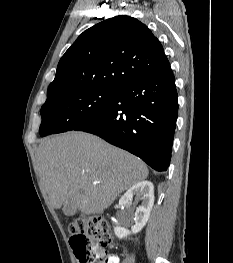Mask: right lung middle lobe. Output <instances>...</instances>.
<instances>
[{
	"label": "right lung middle lobe",
	"instance_id": "right-lung-middle-lobe-1",
	"mask_svg": "<svg viewBox=\"0 0 233 263\" xmlns=\"http://www.w3.org/2000/svg\"><path fill=\"white\" fill-rule=\"evenodd\" d=\"M117 89L89 87L47 97L41 107L40 136L70 131L103 112Z\"/></svg>",
	"mask_w": 233,
	"mask_h": 263
}]
</instances>
